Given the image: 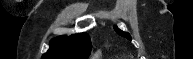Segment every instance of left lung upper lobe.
<instances>
[{"label":"left lung upper lobe","instance_id":"1","mask_svg":"<svg viewBox=\"0 0 193 59\" xmlns=\"http://www.w3.org/2000/svg\"><path fill=\"white\" fill-rule=\"evenodd\" d=\"M114 29H115V31H116L119 35H121V36H123V37H125V38H127V39H129V40H131V36H130V34H129L128 32H124V31L120 30L117 26H114Z\"/></svg>","mask_w":193,"mask_h":59}]
</instances>
